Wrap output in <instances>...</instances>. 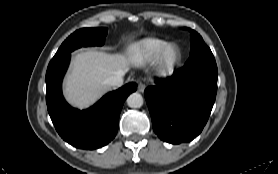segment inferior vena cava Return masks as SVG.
I'll return each instance as SVG.
<instances>
[{
  "instance_id": "inferior-vena-cava-1",
  "label": "inferior vena cava",
  "mask_w": 278,
  "mask_h": 174,
  "mask_svg": "<svg viewBox=\"0 0 278 174\" xmlns=\"http://www.w3.org/2000/svg\"><path fill=\"white\" fill-rule=\"evenodd\" d=\"M125 72H119L106 80V84L113 87H120L123 84V75Z\"/></svg>"
}]
</instances>
